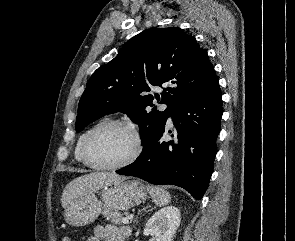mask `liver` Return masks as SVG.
<instances>
[{"instance_id": "6515ba94", "label": "liver", "mask_w": 295, "mask_h": 241, "mask_svg": "<svg viewBox=\"0 0 295 241\" xmlns=\"http://www.w3.org/2000/svg\"><path fill=\"white\" fill-rule=\"evenodd\" d=\"M125 180V177L108 172H95L75 178L63 190L61 204L66 208L79 196L110 186L113 183Z\"/></svg>"}]
</instances>
